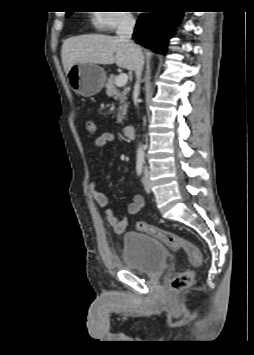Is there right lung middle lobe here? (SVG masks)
<instances>
[{
	"instance_id": "1",
	"label": "right lung middle lobe",
	"mask_w": 254,
	"mask_h": 355,
	"mask_svg": "<svg viewBox=\"0 0 254 355\" xmlns=\"http://www.w3.org/2000/svg\"><path fill=\"white\" fill-rule=\"evenodd\" d=\"M73 12H67L66 17L70 16Z\"/></svg>"
}]
</instances>
